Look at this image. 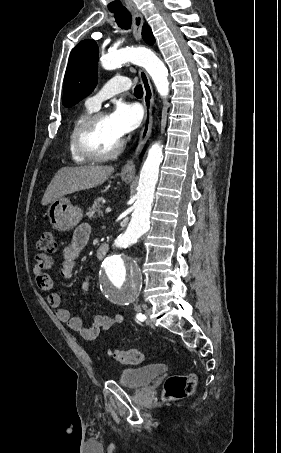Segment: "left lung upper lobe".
Here are the masks:
<instances>
[{"instance_id":"left-lung-upper-lobe-1","label":"left lung upper lobe","mask_w":281,"mask_h":453,"mask_svg":"<svg viewBox=\"0 0 281 453\" xmlns=\"http://www.w3.org/2000/svg\"><path fill=\"white\" fill-rule=\"evenodd\" d=\"M98 46L95 41H81L71 52L65 73L62 103L73 106L88 96L97 84Z\"/></svg>"}]
</instances>
